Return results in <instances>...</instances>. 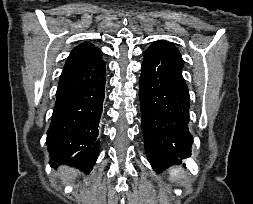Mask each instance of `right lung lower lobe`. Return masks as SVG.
<instances>
[{"label": "right lung lower lobe", "instance_id": "98d812e1", "mask_svg": "<svg viewBox=\"0 0 253 204\" xmlns=\"http://www.w3.org/2000/svg\"><path fill=\"white\" fill-rule=\"evenodd\" d=\"M105 63L99 49L64 67L47 132L50 163L90 172L99 152V121L105 97Z\"/></svg>", "mask_w": 253, "mask_h": 204}]
</instances>
